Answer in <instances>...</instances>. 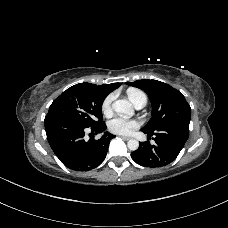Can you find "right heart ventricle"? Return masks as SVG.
<instances>
[{
  "mask_svg": "<svg viewBox=\"0 0 228 228\" xmlns=\"http://www.w3.org/2000/svg\"><path fill=\"white\" fill-rule=\"evenodd\" d=\"M127 94H128V97L129 99L133 102L134 99L139 96V95H145L143 92H141L140 90L138 89H134V88H130L128 89L127 91Z\"/></svg>",
  "mask_w": 228,
  "mask_h": 228,
  "instance_id": "right-heart-ventricle-1",
  "label": "right heart ventricle"
}]
</instances>
